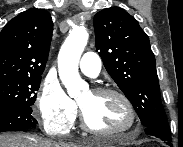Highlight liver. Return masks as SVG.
I'll return each mask as SVG.
<instances>
[{
	"label": "liver",
	"instance_id": "1",
	"mask_svg": "<svg viewBox=\"0 0 183 147\" xmlns=\"http://www.w3.org/2000/svg\"><path fill=\"white\" fill-rule=\"evenodd\" d=\"M96 142L89 141L82 144L55 142L42 137L23 133L0 134V147H92Z\"/></svg>",
	"mask_w": 183,
	"mask_h": 147
}]
</instances>
